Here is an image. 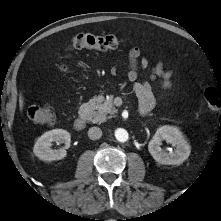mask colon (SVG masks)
<instances>
[{"label": "colon", "instance_id": "5ec220e1", "mask_svg": "<svg viewBox=\"0 0 221 221\" xmlns=\"http://www.w3.org/2000/svg\"><path fill=\"white\" fill-rule=\"evenodd\" d=\"M121 39L116 35H93L80 33L75 35L70 43L71 49H94L98 51H108L118 47ZM63 66L61 70H65ZM204 98L211 113L217 112L221 105V94L215 88H207L204 92ZM28 117L42 125H52L55 122L56 115L54 111L47 107L34 104L28 109Z\"/></svg>", "mask_w": 221, "mask_h": 221}]
</instances>
